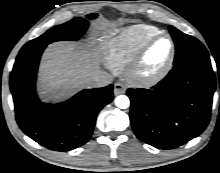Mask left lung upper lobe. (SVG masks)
Returning a JSON list of instances; mask_svg holds the SVG:
<instances>
[{
    "label": "left lung upper lobe",
    "instance_id": "left-lung-upper-lobe-1",
    "mask_svg": "<svg viewBox=\"0 0 220 173\" xmlns=\"http://www.w3.org/2000/svg\"><path fill=\"white\" fill-rule=\"evenodd\" d=\"M169 30L176 45L174 66L194 60H209L208 52L199 40L180 32L173 26H170Z\"/></svg>",
    "mask_w": 220,
    "mask_h": 173
}]
</instances>
